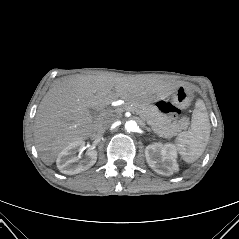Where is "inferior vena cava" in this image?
Instances as JSON below:
<instances>
[{
    "mask_svg": "<svg viewBox=\"0 0 239 239\" xmlns=\"http://www.w3.org/2000/svg\"><path fill=\"white\" fill-rule=\"evenodd\" d=\"M112 122L113 121L111 119H107L102 122L96 129L97 135L101 136L105 132V130L109 128Z\"/></svg>",
    "mask_w": 239,
    "mask_h": 239,
    "instance_id": "inferior-vena-cava-1",
    "label": "inferior vena cava"
}]
</instances>
